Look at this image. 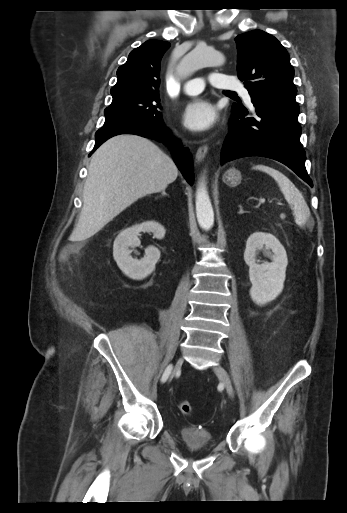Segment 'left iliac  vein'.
Here are the masks:
<instances>
[{"label":"left iliac vein","mask_w":347,"mask_h":513,"mask_svg":"<svg viewBox=\"0 0 347 513\" xmlns=\"http://www.w3.org/2000/svg\"><path fill=\"white\" fill-rule=\"evenodd\" d=\"M213 371L215 372V374L219 377V379L224 384V387H225L226 392L228 393L229 397L231 399H233L234 398V389H233V385L230 380V377H229L228 373L226 372V370L221 365L217 364V365L213 366Z\"/></svg>","instance_id":"4c4485c4"}]
</instances>
